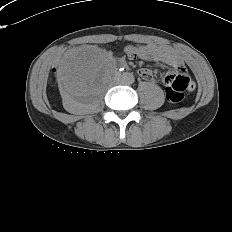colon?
I'll use <instances>...</instances> for the list:
<instances>
[{
  "instance_id": "obj_1",
  "label": "colon",
  "mask_w": 232,
  "mask_h": 232,
  "mask_svg": "<svg viewBox=\"0 0 232 232\" xmlns=\"http://www.w3.org/2000/svg\"><path fill=\"white\" fill-rule=\"evenodd\" d=\"M166 86V96L170 102H180L184 97V91L190 86L189 78L182 75H167L163 80Z\"/></svg>"
}]
</instances>
